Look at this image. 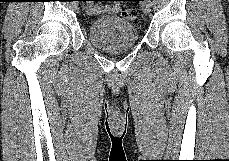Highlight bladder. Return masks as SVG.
<instances>
[{"label":"bladder","instance_id":"obj_1","mask_svg":"<svg viewBox=\"0 0 229 161\" xmlns=\"http://www.w3.org/2000/svg\"><path fill=\"white\" fill-rule=\"evenodd\" d=\"M90 42L104 50L131 48L138 42V30L131 22L118 16L93 20L87 30Z\"/></svg>","mask_w":229,"mask_h":161}]
</instances>
